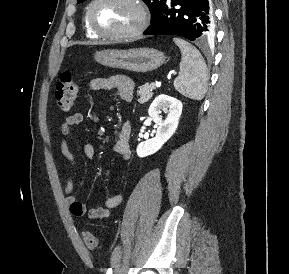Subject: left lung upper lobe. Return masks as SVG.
Listing matches in <instances>:
<instances>
[{"label": "left lung upper lobe", "mask_w": 289, "mask_h": 274, "mask_svg": "<svg viewBox=\"0 0 289 274\" xmlns=\"http://www.w3.org/2000/svg\"><path fill=\"white\" fill-rule=\"evenodd\" d=\"M85 0H78L77 3H82ZM151 12V22L155 21L161 12V9L166 0H143Z\"/></svg>", "instance_id": "left-lung-upper-lobe-1"}]
</instances>
